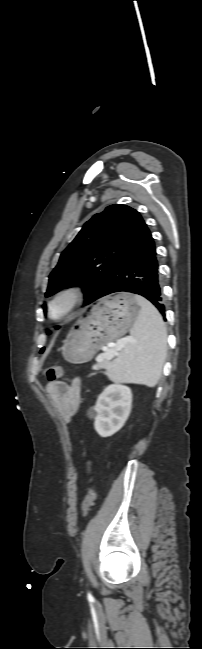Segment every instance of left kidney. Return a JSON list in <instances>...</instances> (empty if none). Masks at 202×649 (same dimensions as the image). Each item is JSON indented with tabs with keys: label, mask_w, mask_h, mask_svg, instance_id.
Instances as JSON below:
<instances>
[{
	"label": "left kidney",
	"mask_w": 202,
	"mask_h": 649,
	"mask_svg": "<svg viewBox=\"0 0 202 649\" xmlns=\"http://www.w3.org/2000/svg\"><path fill=\"white\" fill-rule=\"evenodd\" d=\"M132 407V391L128 386L114 383L99 395L95 411L94 427L102 437H108L120 430L129 417Z\"/></svg>",
	"instance_id": "left-kidney-1"
}]
</instances>
